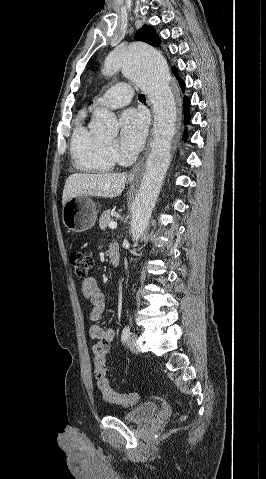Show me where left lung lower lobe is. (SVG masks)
Segmentation results:
<instances>
[{
  "label": "left lung lower lobe",
  "mask_w": 266,
  "mask_h": 479,
  "mask_svg": "<svg viewBox=\"0 0 266 479\" xmlns=\"http://www.w3.org/2000/svg\"><path fill=\"white\" fill-rule=\"evenodd\" d=\"M173 71L176 73V68L175 67H173ZM179 83H180L181 88L183 89L184 88V82L179 80ZM183 103H184L183 105H184V112H185V123H187L190 120V116H189V112H188V106L190 104V101L187 97H184ZM187 136H188L187 132H185L183 138L186 139Z\"/></svg>",
  "instance_id": "obj_1"
}]
</instances>
